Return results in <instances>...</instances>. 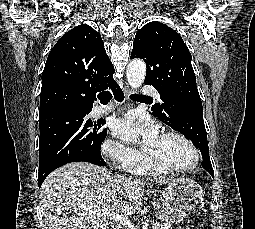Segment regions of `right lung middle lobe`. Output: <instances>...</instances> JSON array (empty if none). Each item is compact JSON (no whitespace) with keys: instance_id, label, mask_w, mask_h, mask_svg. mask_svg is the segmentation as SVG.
Masks as SVG:
<instances>
[{"instance_id":"dd1d6c3e","label":"right lung middle lobe","mask_w":255,"mask_h":229,"mask_svg":"<svg viewBox=\"0 0 255 229\" xmlns=\"http://www.w3.org/2000/svg\"><path fill=\"white\" fill-rule=\"evenodd\" d=\"M90 111H58L39 117V173L70 162L102 160L100 148L107 129L92 121Z\"/></svg>"}]
</instances>
